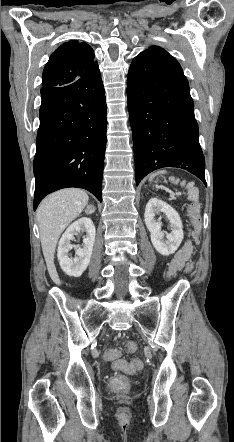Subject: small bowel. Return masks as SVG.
<instances>
[{
    "instance_id": "small-bowel-1",
    "label": "small bowel",
    "mask_w": 234,
    "mask_h": 442,
    "mask_svg": "<svg viewBox=\"0 0 234 442\" xmlns=\"http://www.w3.org/2000/svg\"><path fill=\"white\" fill-rule=\"evenodd\" d=\"M190 253V248L188 246H185L182 250H180L175 258L172 260L170 266L168 275L172 276L174 275L178 270H180L184 266V262L187 261Z\"/></svg>"
}]
</instances>
